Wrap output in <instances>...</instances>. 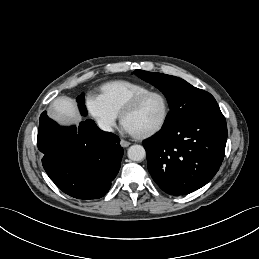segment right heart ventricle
Returning a JSON list of instances; mask_svg holds the SVG:
<instances>
[{"mask_svg":"<svg viewBox=\"0 0 259 259\" xmlns=\"http://www.w3.org/2000/svg\"><path fill=\"white\" fill-rule=\"evenodd\" d=\"M150 90L140 83L117 80L102 85L100 97L114 114L119 115L133 98Z\"/></svg>","mask_w":259,"mask_h":259,"instance_id":"right-heart-ventricle-1","label":"right heart ventricle"}]
</instances>
